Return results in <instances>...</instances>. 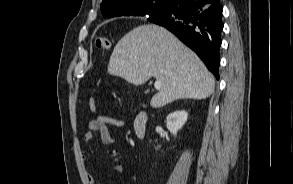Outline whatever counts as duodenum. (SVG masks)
<instances>
[{
  "label": "duodenum",
  "instance_id": "1",
  "mask_svg": "<svg viewBox=\"0 0 293 184\" xmlns=\"http://www.w3.org/2000/svg\"><path fill=\"white\" fill-rule=\"evenodd\" d=\"M148 113L146 111H140L135 115L133 121V130L138 138H143L145 136L148 124Z\"/></svg>",
  "mask_w": 293,
  "mask_h": 184
}]
</instances>
